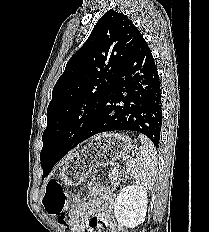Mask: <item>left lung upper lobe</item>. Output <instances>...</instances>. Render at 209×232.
Wrapping results in <instances>:
<instances>
[{"label": "left lung upper lobe", "instance_id": "5c2ea615", "mask_svg": "<svg viewBox=\"0 0 209 232\" xmlns=\"http://www.w3.org/2000/svg\"><path fill=\"white\" fill-rule=\"evenodd\" d=\"M141 37L126 15L109 10L69 59L47 109L40 154L43 177L80 143Z\"/></svg>", "mask_w": 209, "mask_h": 232}]
</instances>
